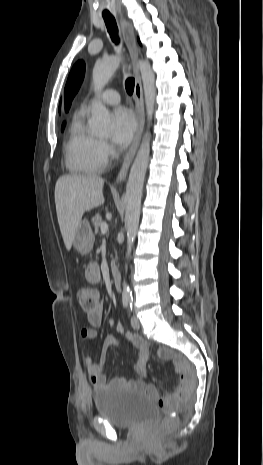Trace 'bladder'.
<instances>
[{
    "label": "bladder",
    "instance_id": "bladder-1",
    "mask_svg": "<svg viewBox=\"0 0 263 465\" xmlns=\"http://www.w3.org/2000/svg\"><path fill=\"white\" fill-rule=\"evenodd\" d=\"M93 400L98 414L105 416L120 428L135 427L149 422L158 414L155 402L134 389L107 386L97 391Z\"/></svg>",
    "mask_w": 263,
    "mask_h": 465
}]
</instances>
